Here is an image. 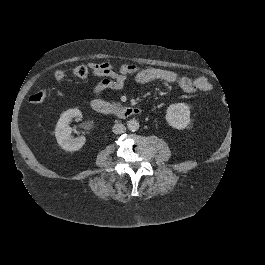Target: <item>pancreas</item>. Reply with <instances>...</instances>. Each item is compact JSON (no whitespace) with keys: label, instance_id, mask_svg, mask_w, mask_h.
<instances>
[{"label":"pancreas","instance_id":"obj_1","mask_svg":"<svg viewBox=\"0 0 265 265\" xmlns=\"http://www.w3.org/2000/svg\"><path fill=\"white\" fill-rule=\"evenodd\" d=\"M111 103L116 107V108H121L122 107V104L119 103V102H116L114 100H111Z\"/></svg>","mask_w":265,"mask_h":265}]
</instances>
